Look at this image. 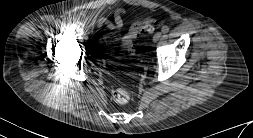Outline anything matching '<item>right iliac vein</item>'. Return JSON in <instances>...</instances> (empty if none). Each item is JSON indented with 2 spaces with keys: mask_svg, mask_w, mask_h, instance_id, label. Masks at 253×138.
I'll list each match as a JSON object with an SVG mask.
<instances>
[{
  "mask_svg": "<svg viewBox=\"0 0 253 138\" xmlns=\"http://www.w3.org/2000/svg\"><path fill=\"white\" fill-rule=\"evenodd\" d=\"M76 34H77L78 36H81V35L83 34V30H82L81 28H78V29L76 30Z\"/></svg>",
  "mask_w": 253,
  "mask_h": 138,
  "instance_id": "1",
  "label": "right iliac vein"
}]
</instances>
